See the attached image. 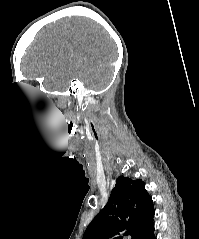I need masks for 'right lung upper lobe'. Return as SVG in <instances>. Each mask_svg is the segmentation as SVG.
<instances>
[{"instance_id": "1", "label": "right lung upper lobe", "mask_w": 199, "mask_h": 239, "mask_svg": "<svg viewBox=\"0 0 199 239\" xmlns=\"http://www.w3.org/2000/svg\"><path fill=\"white\" fill-rule=\"evenodd\" d=\"M153 216V201L144 182L120 176L108 203L89 224L83 239H122L120 234L125 230H130L134 239Z\"/></svg>"}]
</instances>
